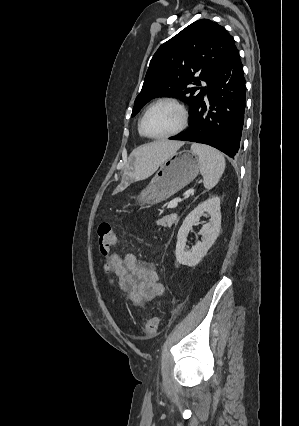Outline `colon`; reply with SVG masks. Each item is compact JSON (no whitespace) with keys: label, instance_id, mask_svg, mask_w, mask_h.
Wrapping results in <instances>:
<instances>
[{"label":"colon","instance_id":"1","mask_svg":"<svg viewBox=\"0 0 299 426\" xmlns=\"http://www.w3.org/2000/svg\"><path fill=\"white\" fill-rule=\"evenodd\" d=\"M98 248L102 255L106 256L118 243V235L114 227L109 223H101L98 227ZM159 319L152 317L144 325V333L152 337L157 333Z\"/></svg>","mask_w":299,"mask_h":426}]
</instances>
